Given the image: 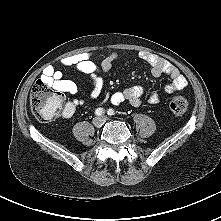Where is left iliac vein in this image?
<instances>
[{"label":"left iliac vein","instance_id":"obj_1","mask_svg":"<svg viewBox=\"0 0 221 221\" xmlns=\"http://www.w3.org/2000/svg\"><path fill=\"white\" fill-rule=\"evenodd\" d=\"M103 119H104V121H106L107 120V118L106 117H102Z\"/></svg>","mask_w":221,"mask_h":221}]
</instances>
